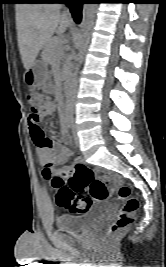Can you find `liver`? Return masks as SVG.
I'll return each instance as SVG.
<instances>
[{"instance_id": "liver-1", "label": "liver", "mask_w": 166, "mask_h": 267, "mask_svg": "<svg viewBox=\"0 0 166 267\" xmlns=\"http://www.w3.org/2000/svg\"><path fill=\"white\" fill-rule=\"evenodd\" d=\"M60 8L57 4L16 5L18 47L25 69L31 67L54 33L61 35L70 25L69 17L60 13Z\"/></svg>"}]
</instances>
